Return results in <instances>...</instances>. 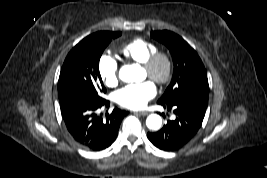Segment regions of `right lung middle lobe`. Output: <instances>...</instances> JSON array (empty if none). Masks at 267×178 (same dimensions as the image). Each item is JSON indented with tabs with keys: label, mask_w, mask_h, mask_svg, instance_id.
<instances>
[{
	"label": "right lung middle lobe",
	"mask_w": 267,
	"mask_h": 178,
	"mask_svg": "<svg viewBox=\"0 0 267 178\" xmlns=\"http://www.w3.org/2000/svg\"><path fill=\"white\" fill-rule=\"evenodd\" d=\"M120 35V32H97L73 47L61 68L58 81L59 99L74 94L102 99L106 89L99 72V60L111 40Z\"/></svg>",
	"instance_id": "1"
}]
</instances>
